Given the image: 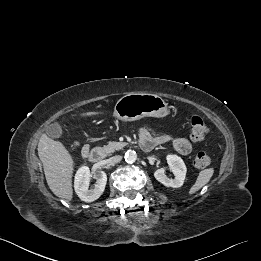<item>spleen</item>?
Masks as SVG:
<instances>
[{"mask_svg":"<svg viewBox=\"0 0 261 261\" xmlns=\"http://www.w3.org/2000/svg\"><path fill=\"white\" fill-rule=\"evenodd\" d=\"M213 173H214L213 168L200 171L196 182L189 190V194L192 195L197 191H199L203 186H205L210 181L211 177L213 176Z\"/></svg>","mask_w":261,"mask_h":261,"instance_id":"spleen-1","label":"spleen"}]
</instances>
